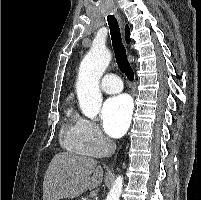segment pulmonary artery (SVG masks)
<instances>
[{"mask_svg":"<svg viewBox=\"0 0 201 200\" xmlns=\"http://www.w3.org/2000/svg\"><path fill=\"white\" fill-rule=\"evenodd\" d=\"M101 89L109 94H115L122 91L121 79L113 73L105 74L100 82Z\"/></svg>","mask_w":201,"mask_h":200,"instance_id":"1","label":"pulmonary artery"}]
</instances>
